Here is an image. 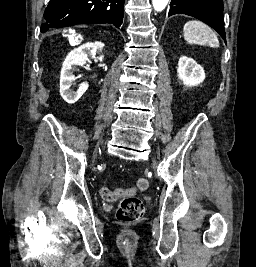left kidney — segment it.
I'll return each mask as SVG.
<instances>
[{
    "instance_id": "left-kidney-1",
    "label": "left kidney",
    "mask_w": 256,
    "mask_h": 267,
    "mask_svg": "<svg viewBox=\"0 0 256 267\" xmlns=\"http://www.w3.org/2000/svg\"><path fill=\"white\" fill-rule=\"evenodd\" d=\"M177 74L184 86H198L205 80L203 68L195 60L187 58V56H181L178 62Z\"/></svg>"
}]
</instances>
